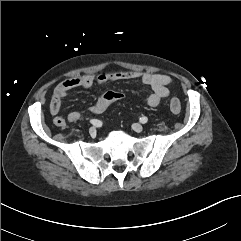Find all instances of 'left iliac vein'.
Listing matches in <instances>:
<instances>
[{"label":"left iliac vein","mask_w":241,"mask_h":241,"mask_svg":"<svg viewBox=\"0 0 241 241\" xmlns=\"http://www.w3.org/2000/svg\"><path fill=\"white\" fill-rule=\"evenodd\" d=\"M132 128L135 132H138V133L142 132L143 130V126L139 123L133 124Z\"/></svg>","instance_id":"obj_1"}]
</instances>
